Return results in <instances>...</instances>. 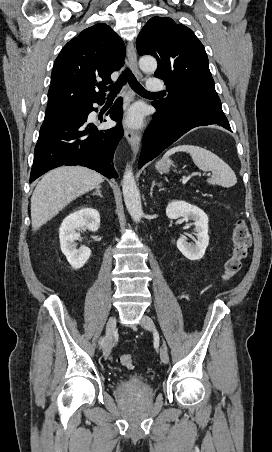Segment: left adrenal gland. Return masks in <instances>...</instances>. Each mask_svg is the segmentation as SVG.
I'll use <instances>...</instances> for the list:
<instances>
[{
	"label": "left adrenal gland",
	"mask_w": 272,
	"mask_h": 452,
	"mask_svg": "<svg viewBox=\"0 0 272 452\" xmlns=\"http://www.w3.org/2000/svg\"><path fill=\"white\" fill-rule=\"evenodd\" d=\"M155 186L161 187V183H156L155 180L152 181V183H151V189H150V195H151V197H152L153 189H154Z\"/></svg>",
	"instance_id": "obj_1"
}]
</instances>
